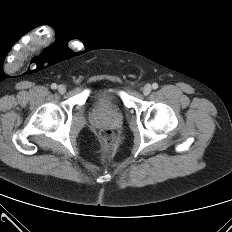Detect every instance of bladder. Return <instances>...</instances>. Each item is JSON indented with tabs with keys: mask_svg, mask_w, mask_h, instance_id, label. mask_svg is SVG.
Wrapping results in <instances>:
<instances>
[{
	"mask_svg": "<svg viewBox=\"0 0 232 232\" xmlns=\"http://www.w3.org/2000/svg\"><path fill=\"white\" fill-rule=\"evenodd\" d=\"M96 101L102 105L113 104L119 106L122 104V95L117 87L110 86L96 93Z\"/></svg>",
	"mask_w": 232,
	"mask_h": 232,
	"instance_id": "obj_1",
	"label": "bladder"
}]
</instances>
